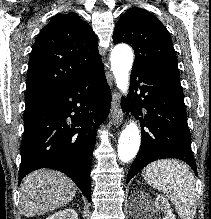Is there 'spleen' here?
I'll return each instance as SVG.
<instances>
[{"instance_id":"1","label":"spleen","mask_w":211,"mask_h":219,"mask_svg":"<svg viewBox=\"0 0 211 219\" xmlns=\"http://www.w3.org/2000/svg\"><path fill=\"white\" fill-rule=\"evenodd\" d=\"M142 176L172 201L181 219H194L197 190L194 175L186 164L177 160H158L149 164Z\"/></svg>"}]
</instances>
